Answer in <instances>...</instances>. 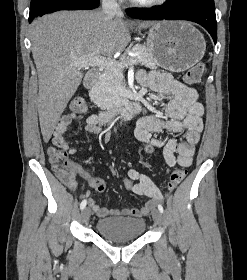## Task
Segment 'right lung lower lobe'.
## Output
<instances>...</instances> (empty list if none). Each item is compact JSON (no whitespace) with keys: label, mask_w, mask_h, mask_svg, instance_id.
Returning a JSON list of instances; mask_svg holds the SVG:
<instances>
[{"label":"right lung lower lobe","mask_w":247,"mask_h":280,"mask_svg":"<svg viewBox=\"0 0 247 280\" xmlns=\"http://www.w3.org/2000/svg\"><path fill=\"white\" fill-rule=\"evenodd\" d=\"M99 5V0H50L43 4L36 12L30 13L29 22L46 13L64 9H90Z\"/></svg>","instance_id":"obj_1"}]
</instances>
